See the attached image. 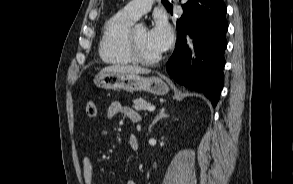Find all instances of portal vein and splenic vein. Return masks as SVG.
<instances>
[{
  "label": "portal vein and splenic vein",
  "instance_id": "1",
  "mask_svg": "<svg viewBox=\"0 0 293 184\" xmlns=\"http://www.w3.org/2000/svg\"><path fill=\"white\" fill-rule=\"evenodd\" d=\"M147 110L149 111V112H153L154 110H155V106H148L147 107Z\"/></svg>",
  "mask_w": 293,
  "mask_h": 184
}]
</instances>
